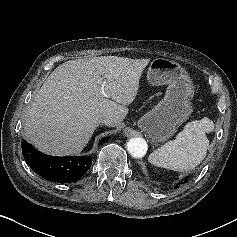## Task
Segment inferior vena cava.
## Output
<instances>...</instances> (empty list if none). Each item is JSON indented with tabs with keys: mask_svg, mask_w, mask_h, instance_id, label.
<instances>
[{
	"mask_svg": "<svg viewBox=\"0 0 237 237\" xmlns=\"http://www.w3.org/2000/svg\"><path fill=\"white\" fill-rule=\"evenodd\" d=\"M95 122L97 124L108 125V124H111L113 122V119L109 116L100 115V116L96 117Z\"/></svg>",
	"mask_w": 237,
	"mask_h": 237,
	"instance_id": "1",
	"label": "inferior vena cava"
}]
</instances>
